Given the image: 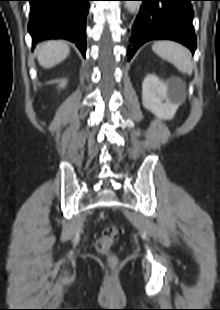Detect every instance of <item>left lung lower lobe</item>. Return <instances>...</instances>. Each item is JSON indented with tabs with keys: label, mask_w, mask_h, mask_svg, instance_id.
<instances>
[{
	"label": "left lung lower lobe",
	"mask_w": 220,
	"mask_h": 310,
	"mask_svg": "<svg viewBox=\"0 0 220 310\" xmlns=\"http://www.w3.org/2000/svg\"><path fill=\"white\" fill-rule=\"evenodd\" d=\"M140 11L131 28L128 60L150 40L169 39L182 43L192 53L196 36L192 24L193 0H138Z\"/></svg>",
	"instance_id": "left-lung-lower-lobe-1"
}]
</instances>
